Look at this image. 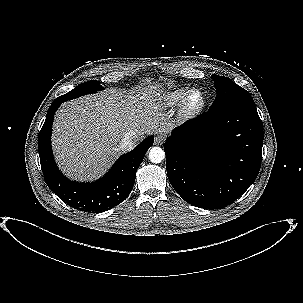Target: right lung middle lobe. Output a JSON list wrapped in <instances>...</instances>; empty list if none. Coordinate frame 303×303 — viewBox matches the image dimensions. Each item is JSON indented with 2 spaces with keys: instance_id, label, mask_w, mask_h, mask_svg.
<instances>
[{
  "instance_id": "right-lung-middle-lobe-1",
  "label": "right lung middle lobe",
  "mask_w": 303,
  "mask_h": 303,
  "mask_svg": "<svg viewBox=\"0 0 303 303\" xmlns=\"http://www.w3.org/2000/svg\"><path fill=\"white\" fill-rule=\"evenodd\" d=\"M104 88L100 85L99 81L92 80L87 81L85 83H82L78 86H76L73 90L70 92L60 96L61 99H64V101L72 100L77 97L87 95L90 93H96L97 91H101Z\"/></svg>"
}]
</instances>
